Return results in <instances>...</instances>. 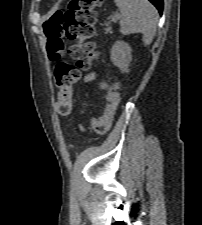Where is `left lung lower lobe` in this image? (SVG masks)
<instances>
[{"label": "left lung lower lobe", "instance_id": "obj_1", "mask_svg": "<svg viewBox=\"0 0 202 225\" xmlns=\"http://www.w3.org/2000/svg\"><path fill=\"white\" fill-rule=\"evenodd\" d=\"M159 11L160 14H162L163 11V0H149Z\"/></svg>", "mask_w": 202, "mask_h": 225}]
</instances>
